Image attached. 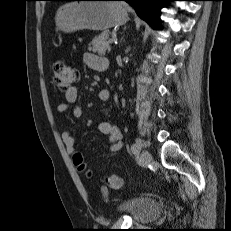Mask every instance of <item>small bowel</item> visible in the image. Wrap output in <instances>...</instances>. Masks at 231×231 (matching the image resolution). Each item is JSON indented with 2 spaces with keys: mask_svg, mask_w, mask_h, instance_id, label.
<instances>
[{
  "mask_svg": "<svg viewBox=\"0 0 231 231\" xmlns=\"http://www.w3.org/2000/svg\"><path fill=\"white\" fill-rule=\"evenodd\" d=\"M84 62L93 70H98L101 65L108 63L105 58L92 53H86L84 55ZM64 96L66 101L57 105V112L60 114L66 113L69 109V104H75L72 108V115L77 119L81 118L83 116V109L76 104L78 99V89L76 87H71L65 91ZM98 97L101 102L106 103L110 100V92L103 89L99 92ZM98 130L100 133L108 136L110 143L109 149L111 152L119 151L122 148V133L116 125L109 122H100ZM61 138L67 151L73 153L76 150V142L73 133L71 131H64L62 132Z\"/></svg>",
  "mask_w": 231,
  "mask_h": 231,
  "instance_id": "1",
  "label": "small bowel"
}]
</instances>
